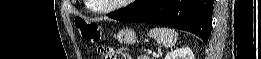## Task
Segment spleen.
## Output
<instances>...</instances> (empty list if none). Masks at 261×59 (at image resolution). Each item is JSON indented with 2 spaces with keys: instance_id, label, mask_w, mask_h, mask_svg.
<instances>
[{
  "instance_id": "obj_1",
  "label": "spleen",
  "mask_w": 261,
  "mask_h": 59,
  "mask_svg": "<svg viewBox=\"0 0 261 59\" xmlns=\"http://www.w3.org/2000/svg\"><path fill=\"white\" fill-rule=\"evenodd\" d=\"M148 35L166 48L174 46L178 38V33L170 28H153Z\"/></svg>"
}]
</instances>
